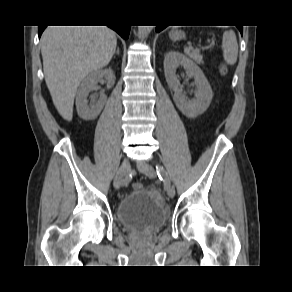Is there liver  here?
Instances as JSON below:
<instances>
[{
	"mask_svg": "<svg viewBox=\"0 0 292 292\" xmlns=\"http://www.w3.org/2000/svg\"><path fill=\"white\" fill-rule=\"evenodd\" d=\"M117 45L116 34L106 26H48L41 37L45 82L59 114L73 117L80 82L106 66Z\"/></svg>",
	"mask_w": 292,
	"mask_h": 292,
	"instance_id": "6515ba94",
	"label": "liver"
}]
</instances>
